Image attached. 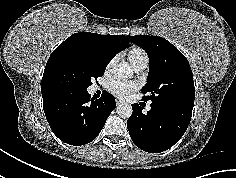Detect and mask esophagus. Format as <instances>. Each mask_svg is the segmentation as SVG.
<instances>
[{
  "label": "esophagus",
  "instance_id": "obj_1",
  "mask_svg": "<svg viewBox=\"0 0 236 178\" xmlns=\"http://www.w3.org/2000/svg\"><path fill=\"white\" fill-rule=\"evenodd\" d=\"M121 104H123L120 100H116V105L117 106H119V105H121Z\"/></svg>",
  "mask_w": 236,
  "mask_h": 178
}]
</instances>
